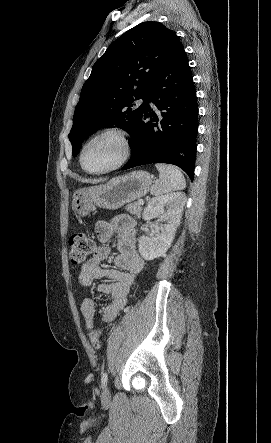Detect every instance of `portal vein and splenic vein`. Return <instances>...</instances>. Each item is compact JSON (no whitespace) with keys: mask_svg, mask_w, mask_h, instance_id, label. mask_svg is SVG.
Listing matches in <instances>:
<instances>
[{"mask_svg":"<svg viewBox=\"0 0 271 443\" xmlns=\"http://www.w3.org/2000/svg\"><path fill=\"white\" fill-rule=\"evenodd\" d=\"M138 204H140V206H143L144 200H138Z\"/></svg>","mask_w":271,"mask_h":443,"instance_id":"portal-vein-and-splenic-vein-1","label":"portal vein and splenic vein"}]
</instances>
